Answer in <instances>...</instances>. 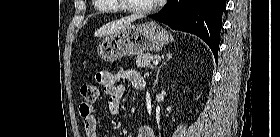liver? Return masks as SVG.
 I'll return each mask as SVG.
<instances>
[{
	"label": "liver",
	"instance_id": "obj_1",
	"mask_svg": "<svg viewBox=\"0 0 280 137\" xmlns=\"http://www.w3.org/2000/svg\"><path fill=\"white\" fill-rule=\"evenodd\" d=\"M141 18L138 15H131L125 18H121L119 20L109 22L105 25H103L101 28H99L97 31H95L94 35L97 37H102V36H108V35H113L123 28L129 26L133 21Z\"/></svg>",
	"mask_w": 280,
	"mask_h": 137
}]
</instances>
